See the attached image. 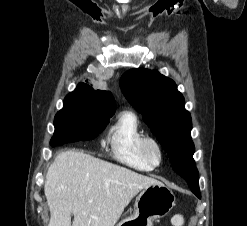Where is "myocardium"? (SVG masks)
Segmentation results:
<instances>
[{
	"instance_id": "myocardium-1",
	"label": "myocardium",
	"mask_w": 247,
	"mask_h": 226,
	"mask_svg": "<svg viewBox=\"0 0 247 226\" xmlns=\"http://www.w3.org/2000/svg\"><path fill=\"white\" fill-rule=\"evenodd\" d=\"M150 148H154L157 153V159H153L150 154ZM140 151L144 160L152 167H158L163 161V149L160 142L152 136H144L140 142Z\"/></svg>"
}]
</instances>
